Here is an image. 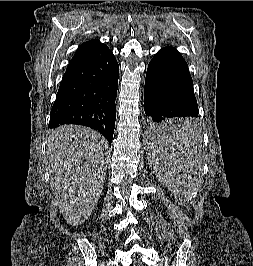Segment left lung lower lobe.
I'll list each match as a JSON object with an SVG mask.
<instances>
[{
  "label": "left lung lower lobe",
  "instance_id": "left-lung-lower-lobe-1",
  "mask_svg": "<svg viewBox=\"0 0 253 266\" xmlns=\"http://www.w3.org/2000/svg\"><path fill=\"white\" fill-rule=\"evenodd\" d=\"M144 109L153 141L193 133V121L188 119L198 117L193 81L186 61L173 47L161 49L148 65Z\"/></svg>",
  "mask_w": 253,
  "mask_h": 266
}]
</instances>
